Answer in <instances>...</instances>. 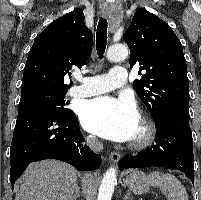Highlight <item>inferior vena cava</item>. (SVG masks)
I'll use <instances>...</instances> for the list:
<instances>
[{"label": "inferior vena cava", "mask_w": 201, "mask_h": 200, "mask_svg": "<svg viewBox=\"0 0 201 200\" xmlns=\"http://www.w3.org/2000/svg\"><path fill=\"white\" fill-rule=\"evenodd\" d=\"M86 141L89 147L94 151L100 152L103 149V144L95 137L89 136Z\"/></svg>", "instance_id": "obj_1"}]
</instances>
